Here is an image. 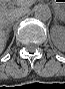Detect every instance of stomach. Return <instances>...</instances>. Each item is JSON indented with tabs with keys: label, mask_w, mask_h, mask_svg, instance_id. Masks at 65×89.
I'll use <instances>...</instances> for the list:
<instances>
[{
	"label": "stomach",
	"mask_w": 65,
	"mask_h": 89,
	"mask_svg": "<svg viewBox=\"0 0 65 89\" xmlns=\"http://www.w3.org/2000/svg\"><path fill=\"white\" fill-rule=\"evenodd\" d=\"M56 8L59 13L60 19L64 20L65 19V4H57Z\"/></svg>",
	"instance_id": "stomach-1"
}]
</instances>
